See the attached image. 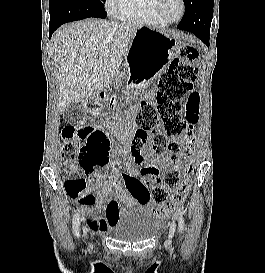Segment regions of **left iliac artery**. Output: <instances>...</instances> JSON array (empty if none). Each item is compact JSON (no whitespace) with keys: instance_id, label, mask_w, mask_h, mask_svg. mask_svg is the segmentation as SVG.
<instances>
[{"instance_id":"obj_1","label":"left iliac artery","mask_w":265,"mask_h":273,"mask_svg":"<svg viewBox=\"0 0 265 273\" xmlns=\"http://www.w3.org/2000/svg\"><path fill=\"white\" fill-rule=\"evenodd\" d=\"M178 228H179V232H182L184 230V219L182 214H179V217H178Z\"/></svg>"}]
</instances>
